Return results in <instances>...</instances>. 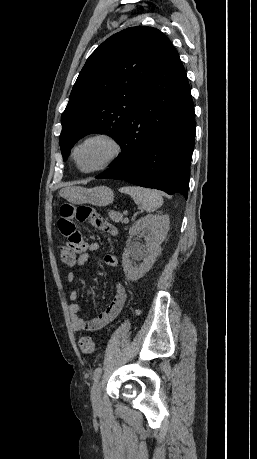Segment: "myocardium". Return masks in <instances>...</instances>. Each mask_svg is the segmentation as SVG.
Returning a JSON list of instances; mask_svg holds the SVG:
<instances>
[{"mask_svg": "<svg viewBox=\"0 0 257 459\" xmlns=\"http://www.w3.org/2000/svg\"><path fill=\"white\" fill-rule=\"evenodd\" d=\"M93 141H103L107 143L111 148V152L108 155V157H106L102 162H100L95 167L90 168V169H82L77 163L76 153L80 147H82L83 145L89 142H93ZM122 152H123V145L121 144V142L115 135L109 132H95V133L85 136L73 146L72 151H71V159H72L74 166L76 167L78 171H80L81 173H85V174H91V173L102 171L108 168L109 166H111L113 163H115L119 159Z\"/></svg>", "mask_w": 257, "mask_h": 459, "instance_id": "obj_1", "label": "myocardium"}]
</instances>
